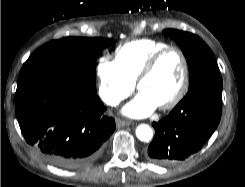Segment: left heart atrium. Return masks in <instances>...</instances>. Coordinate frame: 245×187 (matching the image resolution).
<instances>
[{"instance_id": "1", "label": "left heart atrium", "mask_w": 245, "mask_h": 187, "mask_svg": "<svg viewBox=\"0 0 245 187\" xmlns=\"http://www.w3.org/2000/svg\"><path fill=\"white\" fill-rule=\"evenodd\" d=\"M157 107L155 101L146 93L139 92L137 96L124 107L123 112L133 118H143L151 114Z\"/></svg>"}]
</instances>
